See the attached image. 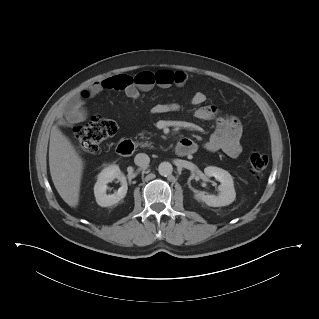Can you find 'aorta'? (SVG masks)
Here are the masks:
<instances>
[{
    "label": "aorta",
    "instance_id": "aorta-1",
    "mask_svg": "<svg viewBox=\"0 0 319 319\" xmlns=\"http://www.w3.org/2000/svg\"><path fill=\"white\" fill-rule=\"evenodd\" d=\"M158 172L161 176L167 177L172 174L173 166L169 162H162L159 164Z\"/></svg>",
    "mask_w": 319,
    "mask_h": 319
}]
</instances>
